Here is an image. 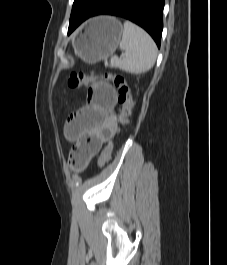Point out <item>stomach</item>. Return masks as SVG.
Instances as JSON below:
<instances>
[{
	"instance_id": "0dacf381",
	"label": "stomach",
	"mask_w": 227,
	"mask_h": 265,
	"mask_svg": "<svg viewBox=\"0 0 227 265\" xmlns=\"http://www.w3.org/2000/svg\"><path fill=\"white\" fill-rule=\"evenodd\" d=\"M122 33V25L114 17L93 18L78 36L75 42V52L83 61L93 64L115 51Z\"/></svg>"
}]
</instances>
